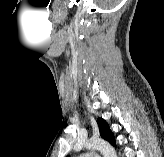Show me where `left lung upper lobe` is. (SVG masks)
Returning a JSON list of instances; mask_svg holds the SVG:
<instances>
[{
    "label": "left lung upper lobe",
    "instance_id": "5c2ea615",
    "mask_svg": "<svg viewBox=\"0 0 164 157\" xmlns=\"http://www.w3.org/2000/svg\"><path fill=\"white\" fill-rule=\"evenodd\" d=\"M97 122L100 129L101 137L109 141L112 145H114L116 143L115 137L112 131L110 130L109 125L102 118L97 119ZM67 157H70V156H67Z\"/></svg>",
    "mask_w": 164,
    "mask_h": 157
}]
</instances>
